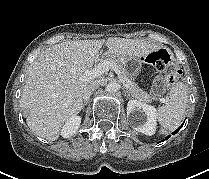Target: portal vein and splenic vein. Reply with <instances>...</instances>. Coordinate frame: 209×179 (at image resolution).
<instances>
[{
  "label": "portal vein and splenic vein",
  "instance_id": "portal-vein-and-splenic-vein-1",
  "mask_svg": "<svg viewBox=\"0 0 209 179\" xmlns=\"http://www.w3.org/2000/svg\"><path fill=\"white\" fill-rule=\"evenodd\" d=\"M110 69H113L116 72V74L118 75L119 79L122 81L124 86L127 89H129L128 83L121 76V73H120L119 69L116 67V64L109 61V60H105V61L99 63L93 69H86L83 73V76L81 77V80L86 81V80L94 79V78L102 75L103 73L108 72ZM160 101L162 103H164L165 99L161 98Z\"/></svg>",
  "mask_w": 209,
  "mask_h": 179
}]
</instances>
